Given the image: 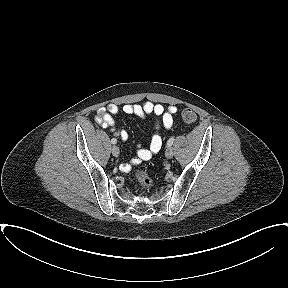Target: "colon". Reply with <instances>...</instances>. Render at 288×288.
I'll return each mask as SVG.
<instances>
[{"instance_id": "1", "label": "colon", "mask_w": 288, "mask_h": 288, "mask_svg": "<svg viewBox=\"0 0 288 288\" xmlns=\"http://www.w3.org/2000/svg\"><path fill=\"white\" fill-rule=\"evenodd\" d=\"M181 117L186 124H194L197 121V115L191 109H184ZM135 176L143 188L149 189L152 186V180L144 172L139 171Z\"/></svg>"}]
</instances>
